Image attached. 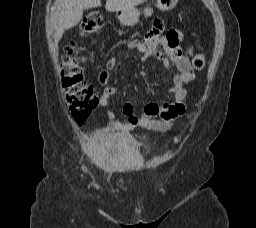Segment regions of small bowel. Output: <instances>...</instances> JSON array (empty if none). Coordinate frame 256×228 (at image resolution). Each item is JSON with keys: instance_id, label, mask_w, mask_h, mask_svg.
Wrapping results in <instances>:
<instances>
[{"instance_id": "1", "label": "small bowel", "mask_w": 256, "mask_h": 228, "mask_svg": "<svg viewBox=\"0 0 256 228\" xmlns=\"http://www.w3.org/2000/svg\"><path fill=\"white\" fill-rule=\"evenodd\" d=\"M164 23L160 19L153 22L151 29L142 39H132L127 42L129 50L141 54L142 60H157L165 68L174 66L177 72L173 75L169 92L173 101L161 105L149 103L140 115L134 113L133 106L125 103L122 107L126 117L125 122L119 121L112 111L107 112L108 126L97 132V136H103L110 132L127 133L137 128L165 132L170 129L173 122L186 111V85L194 79V68L191 64L192 55L184 53L180 46L182 34L179 31L170 30L163 35ZM117 62L116 56H111L106 61V69L101 71L99 82L105 86L100 98L101 106L108 105L115 88L108 85L110 81L109 70H112Z\"/></svg>"}]
</instances>
